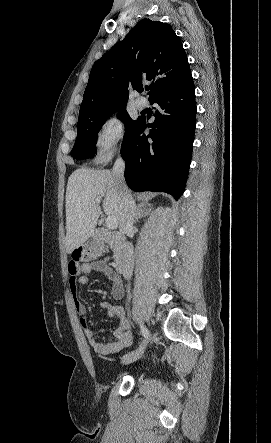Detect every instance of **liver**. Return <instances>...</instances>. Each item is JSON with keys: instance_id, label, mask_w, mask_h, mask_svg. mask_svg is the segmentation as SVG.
<instances>
[{"instance_id": "6515ba94", "label": "liver", "mask_w": 271, "mask_h": 443, "mask_svg": "<svg viewBox=\"0 0 271 443\" xmlns=\"http://www.w3.org/2000/svg\"><path fill=\"white\" fill-rule=\"evenodd\" d=\"M103 200L107 216L119 225L123 216V202L116 190L110 170L79 168L71 174L66 190V251L72 253L94 233L101 214L95 200ZM150 206V204H148Z\"/></svg>"}]
</instances>
